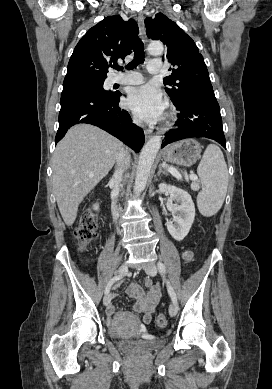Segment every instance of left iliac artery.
I'll return each instance as SVG.
<instances>
[{
	"label": "left iliac artery",
	"mask_w": 272,
	"mask_h": 389,
	"mask_svg": "<svg viewBox=\"0 0 272 389\" xmlns=\"http://www.w3.org/2000/svg\"><path fill=\"white\" fill-rule=\"evenodd\" d=\"M157 267H158V270H159L160 274L163 277H165V273H166L165 265L162 262H158ZM166 284H167V289H168V292H169V295H170L172 301L173 302H177L176 293H175L174 289L172 288V286H171V284H170V282L168 280H166Z\"/></svg>",
	"instance_id": "1"
}]
</instances>
